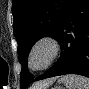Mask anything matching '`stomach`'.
Here are the masks:
<instances>
[{
    "label": "stomach",
    "mask_w": 89,
    "mask_h": 89,
    "mask_svg": "<svg viewBox=\"0 0 89 89\" xmlns=\"http://www.w3.org/2000/svg\"><path fill=\"white\" fill-rule=\"evenodd\" d=\"M52 89H63V88L60 87V86H56V87H54V88H52Z\"/></svg>",
    "instance_id": "0dacf381"
}]
</instances>
